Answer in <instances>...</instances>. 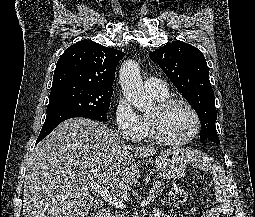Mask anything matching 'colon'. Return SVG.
<instances>
[{
	"instance_id": "colon-1",
	"label": "colon",
	"mask_w": 255,
	"mask_h": 217,
	"mask_svg": "<svg viewBox=\"0 0 255 217\" xmlns=\"http://www.w3.org/2000/svg\"><path fill=\"white\" fill-rule=\"evenodd\" d=\"M170 203L175 206L179 207L183 205L187 200L186 191L177 184H174L170 190Z\"/></svg>"
}]
</instances>
